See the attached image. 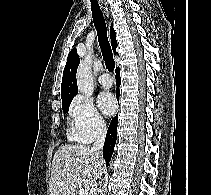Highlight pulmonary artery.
I'll use <instances>...</instances> for the list:
<instances>
[{"label": "pulmonary artery", "instance_id": "e3ab8cb5", "mask_svg": "<svg viewBox=\"0 0 211 195\" xmlns=\"http://www.w3.org/2000/svg\"><path fill=\"white\" fill-rule=\"evenodd\" d=\"M98 80L100 85L105 89H108L112 86V79L109 74H102Z\"/></svg>", "mask_w": 211, "mask_h": 195}]
</instances>
